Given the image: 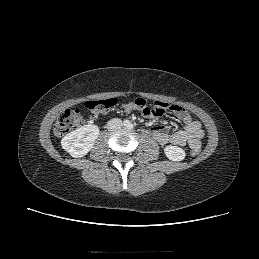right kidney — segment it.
I'll use <instances>...</instances> for the list:
<instances>
[{
	"instance_id": "1",
	"label": "right kidney",
	"mask_w": 259,
	"mask_h": 259,
	"mask_svg": "<svg viewBox=\"0 0 259 259\" xmlns=\"http://www.w3.org/2000/svg\"><path fill=\"white\" fill-rule=\"evenodd\" d=\"M98 136V126L89 124L68 133L62 138L61 145L72 157H83L93 148Z\"/></svg>"
}]
</instances>
